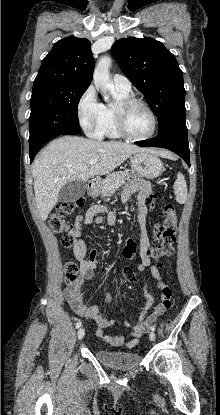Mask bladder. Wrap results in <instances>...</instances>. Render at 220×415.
<instances>
[{"instance_id": "31cf9c89", "label": "bladder", "mask_w": 220, "mask_h": 415, "mask_svg": "<svg viewBox=\"0 0 220 415\" xmlns=\"http://www.w3.org/2000/svg\"><path fill=\"white\" fill-rule=\"evenodd\" d=\"M95 356L100 362L119 369H131L141 363V357L135 352L98 349Z\"/></svg>"}]
</instances>
